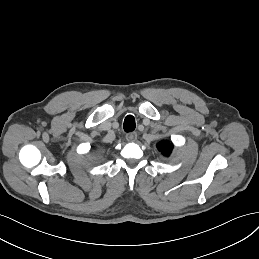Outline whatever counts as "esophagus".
I'll return each mask as SVG.
<instances>
[{
  "instance_id": "1",
  "label": "esophagus",
  "mask_w": 259,
  "mask_h": 259,
  "mask_svg": "<svg viewBox=\"0 0 259 259\" xmlns=\"http://www.w3.org/2000/svg\"><path fill=\"white\" fill-rule=\"evenodd\" d=\"M136 139H137V133L136 132H131V133H128L126 135V140L128 142H134Z\"/></svg>"
}]
</instances>
